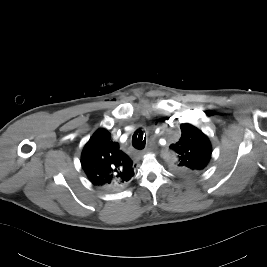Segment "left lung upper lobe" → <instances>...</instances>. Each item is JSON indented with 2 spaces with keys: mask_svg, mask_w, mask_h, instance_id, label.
Returning a JSON list of instances; mask_svg holds the SVG:
<instances>
[{
  "mask_svg": "<svg viewBox=\"0 0 267 267\" xmlns=\"http://www.w3.org/2000/svg\"><path fill=\"white\" fill-rule=\"evenodd\" d=\"M181 137L171 144L178 154L177 172L182 175H196L206 170L212 148L207 136L191 124H181Z\"/></svg>",
  "mask_w": 267,
  "mask_h": 267,
  "instance_id": "5c2ea615",
  "label": "left lung upper lobe"
}]
</instances>
